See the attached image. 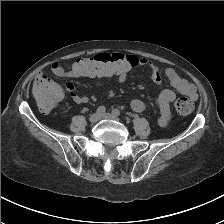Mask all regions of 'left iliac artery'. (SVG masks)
Here are the masks:
<instances>
[{
	"label": "left iliac artery",
	"instance_id": "left-iliac-artery-1",
	"mask_svg": "<svg viewBox=\"0 0 224 224\" xmlns=\"http://www.w3.org/2000/svg\"><path fill=\"white\" fill-rule=\"evenodd\" d=\"M112 114L115 115V116H119L120 115V111L118 109H114L112 111Z\"/></svg>",
	"mask_w": 224,
	"mask_h": 224
}]
</instances>
